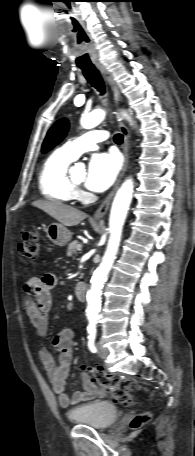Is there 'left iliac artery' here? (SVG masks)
Returning <instances> with one entry per match:
<instances>
[{
	"label": "left iliac artery",
	"mask_w": 195,
	"mask_h": 456,
	"mask_svg": "<svg viewBox=\"0 0 195 456\" xmlns=\"http://www.w3.org/2000/svg\"><path fill=\"white\" fill-rule=\"evenodd\" d=\"M96 338V322L90 321L88 326V348L92 353H96L97 349L95 346Z\"/></svg>",
	"instance_id": "obj_1"
}]
</instances>
